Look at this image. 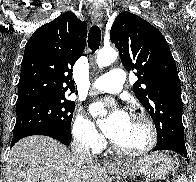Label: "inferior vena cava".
Instances as JSON below:
<instances>
[{
    "mask_svg": "<svg viewBox=\"0 0 196 182\" xmlns=\"http://www.w3.org/2000/svg\"><path fill=\"white\" fill-rule=\"evenodd\" d=\"M71 150L76 166H81L85 160L92 159L88 146V139L86 137L74 140L71 144Z\"/></svg>",
    "mask_w": 196,
    "mask_h": 182,
    "instance_id": "inferior-vena-cava-1",
    "label": "inferior vena cava"
}]
</instances>
